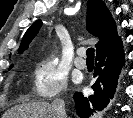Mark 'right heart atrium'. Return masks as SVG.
Listing matches in <instances>:
<instances>
[{
  "label": "right heart atrium",
  "instance_id": "right-heart-atrium-1",
  "mask_svg": "<svg viewBox=\"0 0 133 118\" xmlns=\"http://www.w3.org/2000/svg\"><path fill=\"white\" fill-rule=\"evenodd\" d=\"M67 89V75L53 57L39 60L34 68V93L39 99H51Z\"/></svg>",
  "mask_w": 133,
  "mask_h": 118
}]
</instances>
